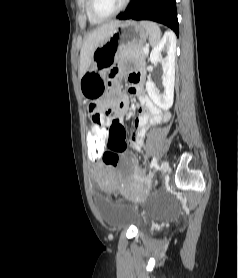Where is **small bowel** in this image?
Instances as JSON below:
<instances>
[{"mask_svg": "<svg viewBox=\"0 0 238 278\" xmlns=\"http://www.w3.org/2000/svg\"><path fill=\"white\" fill-rule=\"evenodd\" d=\"M120 72L121 67H110V71H107V76L108 81H114L112 85V93H104V98H112V101H114L116 105H110L111 103H101L93 104L89 108L92 124L99 125L98 129L91 130H100V132H104L106 138L125 137V132H127V127H124L117 119H112V117L107 115V113H115L113 117L120 118L126 115L129 109V99L127 96L121 94L120 83L118 80H115V76H120ZM144 78L145 71L142 66L131 71L128 75V81L130 84L129 91L131 94L138 97L140 108L133 123L132 137L124 138V143H126V146L128 144L135 151L142 149L149 124H157L168 119V114L159 109L146 94L143 86ZM104 113H106V116ZM113 120L118 127H111L113 125ZM95 136L96 135H88V137ZM136 177L137 174H134L130 176L129 179L134 180ZM101 183L104 186L112 187L115 190L120 189L122 186V183L117 181L114 176L107 172L102 174Z\"/></svg>", "mask_w": 238, "mask_h": 278, "instance_id": "obj_1", "label": "small bowel"}]
</instances>
